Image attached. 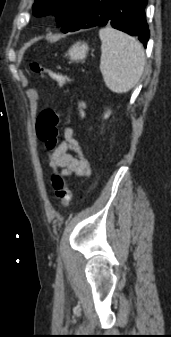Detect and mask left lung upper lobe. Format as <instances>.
<instances>
[{"instance_id": "1", "label": "left lung upper lobe", "mask_w": 171, "mask_h": 337, "mask_svg": "<svg viewBox=\"0 0 171 337\" xmlns=\"http://www.w3.org/2000/svg\"><path fill=\"white\" fill-rule=\"evenodd\" d=\"M85 0H35L33 14L44 16L53 14L63 33H67L76 23Z\"/></svg>"}]
</instances>
